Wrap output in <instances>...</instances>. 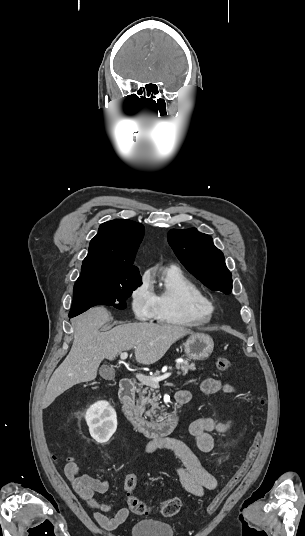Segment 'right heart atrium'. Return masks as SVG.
<instances>
[{"mask_svg": "<svg viewBox=\"0 0 305 536\" xmlns=\"http://www.w3.org/2000/svg\"><path fill=\"white\" fill-rule=\"evenodd\" d=\"M129 305L132 313L138 320L147 321L154 319L156 308L151 285L145 276H142L138 283L129 293Z\"/></svg>", "mask_w": 305, "mask_h": 536, "instance_id": "obj_1", "label": "right heart atrium"}]
</instances>
